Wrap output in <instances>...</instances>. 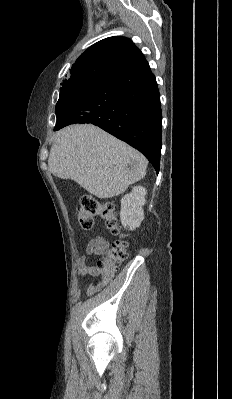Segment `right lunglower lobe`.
Returning a JSON list of instances; mask_svg holds the SVG:
<instances>
[{
	"label": "right lung lower lobe",
	"instance_id": "obj_1",
	"mask_svg": "<svg viewBox=\"0 0 232 399\" xmlns=\"http://www.w3.org/2000/svg\"><path fill=\"white\" fill-rule=\"evenodd\" d=\"M92 123L139 150L159 171L162 111L146 60L111 76L60 109L55 130Z\"/></svg>",
	"mask_w": 232,
	"mask_h": 399
}]
</instances>
